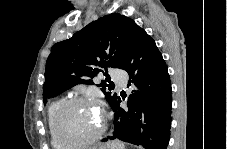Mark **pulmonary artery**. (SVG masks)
Segmentation results:
<instances>
[{"mask_svg": "<svg viewBox=\"0 0 227 149\" xmlns=\"http://www.w3.org/2000/svg\"><path fill=\"white\" fill-rule=\"evenodd\" d=\"M111 79L120 85H125L126 83V74L119 69H112L111 72Z\"/></svg>", "mask_w": 227, "mask_h": 149, "instance_id": "1", "label": "pulmonary artery"}]
</instances>
